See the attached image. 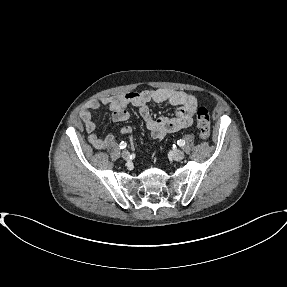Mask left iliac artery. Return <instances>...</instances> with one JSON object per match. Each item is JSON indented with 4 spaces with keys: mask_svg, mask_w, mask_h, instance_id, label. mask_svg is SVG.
<instances>
[{
    "mask_svg": "<svg viewBox=\"0 0 287 287\" xmlns=\"http://www.w3.org/2000/svg\"><path fill=\"white\" fill-rule=\"evenodd\" d=\"M177 144L179 146H184L185 145V141L180 139V140L177 141Z\"/></svg>",
    "mask_w": 287,
    "mask_h": 287,
    "instance_id": "left-iliac-artery-1",
    "label": "left iliac artery"
}]
</instances>
